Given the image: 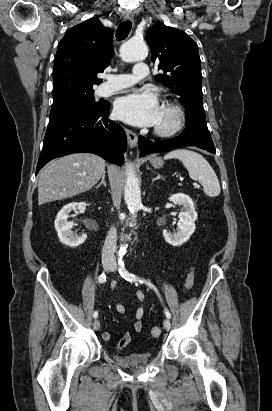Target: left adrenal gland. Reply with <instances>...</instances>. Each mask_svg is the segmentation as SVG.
<instances>
[{"label":"left adrenal gland","mask_w":272,"mask_h":411,"mask_svg":"<svg viewBox=\"0 0 272 411\" xmlns=\"http://www.w3.org/2000/svg\"><path fill=\"white\" fill-rule=\"evenodd\" d=\"M158 179H163V177H162L160 174H158L155 178H153V182H154L155 180H158Z\"/></svg>","instance_id":"1"}]
</instances>
